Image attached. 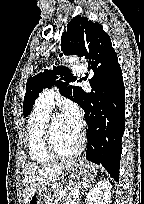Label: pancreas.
I'll use <instances>...</instances> for the list:
<instances>
[{
  "label": "pancreas",
  "instance_id": "obj_1",
  "mask_svg": "<svg viewBox=\"0 0 144 204\" xmlns=\"http://www.w3.org/2000/svg\"><path fill=\"white\" fill-rule=\"evenodd\" d=\"M77 190L75 188H65L58 191L55 195L56 202L52 204H78L79 198L72 195V191Z\"/></svg>",
  "mask_w": 144,
  "mask_h": 204
}]
</instances>
